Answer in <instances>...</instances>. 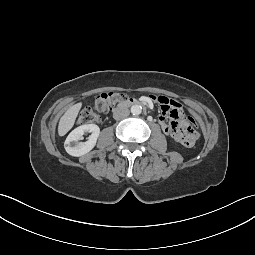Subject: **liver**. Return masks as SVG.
Masks as SVG:
<instances>
[{"label":"liver","instance_id":"liver-1","mask_svg":"<svg viewBox=\"0 0 255 255\" xmlns=\"http://www.w3.org/2000/svg\"><path fill=\"white\" fill-rule=\"evenodd\" d=\"M81 106H82L81 102L71 106L60 118L58 125L59 136H64L73 127L76 117L81 109Z\"/></svg>","mask_w":255,"mask_h":255}]
</instances>
